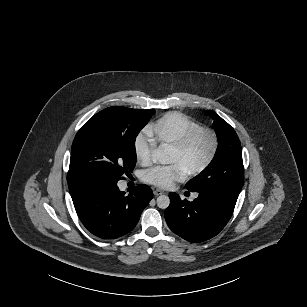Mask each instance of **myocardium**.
<instances>
[{
    "instance_id": "f54148a6",
    "label": "myocardium",
    "mask_w": 307,
    "mask_h": 307,
    "mask_svg": "<svg viewBox=\"0 0 307 307\" xmlns=\"http://www.w3.org/2000/svg\"><path fill=\"white\" fill-rule=\"evenodd\" d=\"M201 136H208L211 140V149L205 159L196 167L187 171L191 176H196L205 171L209 165L214 161L219 148H220V137L218 133L210 128L198 129L190 135L186 136L181 141L169 145V148L175 152L182 153L186 151L193 143H195Z\"/></svg>"
}]
</instances>
